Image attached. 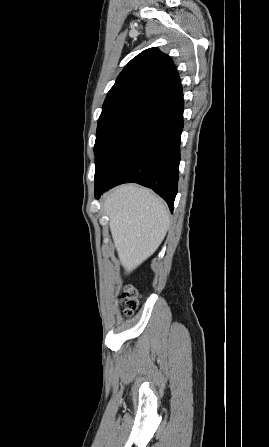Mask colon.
I'll return each mask as SVG.
<instances>
[{"instance_id": "colon-1", "label": "colon", "mask_w": 269, "mask_h": 447, "mask_svg": "<svg viewBox=\"0 0 269 447\" xmlns=\"http://www.w3.org/2000/svg\"><path fill=\"white\" fill-rule=\"evenodd\" d=\"M141 294L136 288H128L121 295L122 311L129 316L139 305Z\"/></svg>"}]
</instances>
